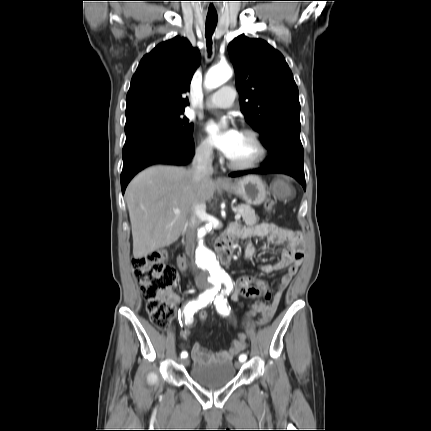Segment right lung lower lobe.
<instances>
[{
  "mask_svg": "<svg viewBox=\"0 0 431 431\" xmlns=\"http://www.w3.org/2000/svg\"><path fill=\"white\" fill-rule=\"evenodd\" d=\"M194 155L192 137L151 129L126 137L122 151L121 189L139 171L154 164L185 165Z\"/></svg>",
  "mask_w": 431,
  "mask_h": 431,
  "instance_id": "98d812e1",
  "label": "right lung lower lobe"
}]
</instances>
